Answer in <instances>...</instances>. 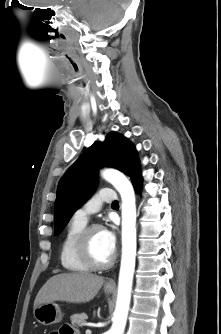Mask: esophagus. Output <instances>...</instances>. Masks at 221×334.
I'll return each mask as SVG.
<instances>
[{"label": "esophagus", "instance_id": "esophagus-1", "mask_svg": "<svg viewBox=\"0 0 221 334\" xmlns=\"http://www.w3.org/2000/svg\"><path fill=\"white\" fill-rule=\"evenodd\" d=\"M106 286L107 287H115L116 286L115 280L110 279L109 281L106 282Z\"/></svg>", "mask_w": 221, "mask_h": 334}]
</instances>
